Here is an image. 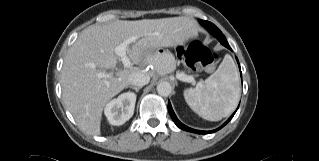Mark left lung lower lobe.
<instances>
[{"label": "left lung lower lobe", "mask_w": 319, "mask_h": 161, "mask_svg": "<svg viewBox=\"0 0 319 161\" xmlns=\"http://www.w3.org/2000/svg\"><path fill=\"white\" fill-rule=\"evenodd\" d=\"M199 22H200L211 34L216 33V32L219 30L215 25H214V27H209L208 24H207V21L199 20ZM208 27H209V28H208ZM224 46L227 47V48H229V49H231L228 43H226ZM236 59H237V58H236ZM237 61H238V59H237ZM238 64H239V62H238ZM239 67H240V65H239ZM240 71H241V69H240ZM237 109H238V108H237ZM168 111H169V114H170L172 120H173L174 123L177 125V127H179V128L182 129V130L189 131V132H193V133H197V134H208V133H213V132H216V131L220 130L221 128H223V127L232 119V117H233L234 114L236 113V111H235V112L232 114V116H231L222 126H220L219 128H217V129H215V130H212V131H201V130L192 129V128L187 127L186 125L182 124V123L178 120V118L176 117V115H175V113H174V111H173V109H172V106H171L170 101H168Z\"/></svg>", "instance_id": "left-lung-lower-lobe-1"}]
</instances>
